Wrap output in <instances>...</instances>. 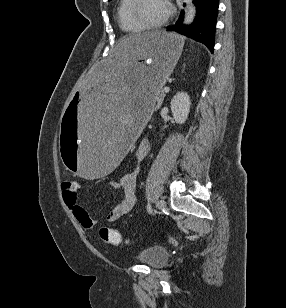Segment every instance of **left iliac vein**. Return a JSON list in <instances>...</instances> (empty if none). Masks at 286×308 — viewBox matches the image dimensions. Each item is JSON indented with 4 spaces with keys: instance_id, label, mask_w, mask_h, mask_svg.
<instances>
[{
    "instance_id": "4c4485c4",
    "label": "left iliac vein",
    "mask_w": 286,
    "mask_h": 308,
    "mask_svg": "<svg viewBox=\"0 0 286 308\" xmlns=\"http://www.w3.org/2000/svg\"><path fill=\"white\" fill-rule=\"evenodd\" d=\"M156 207L159 209V210H162L165 208V201L160 199L156 202Z\"/></svg>"
}]
</instances>
